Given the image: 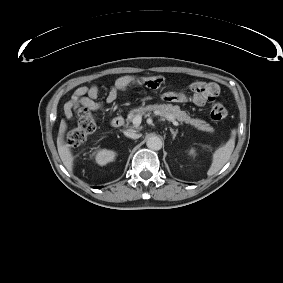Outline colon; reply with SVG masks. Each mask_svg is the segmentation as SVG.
<instances>
[{
    "label": "colon",
    "mask_w": 283,
    "mask_h": 283,
    "mask_svg": "<svg viewBox=\"0 0 283 283\" xmlns=\"http://www.w3.org/2000/svg\"><path fill=\"white\" fill-rule=\"evenodd\" d=\"M165 98V97H164ZM227 116V110L222 104H214L210 109V118L213 121H221ZM96 129V118L88 108L78 111L76 126L71 128L66 134V141L69 144L82 142L88 135Z\"/></svg>",
    "instance_id": "colon-1"
}]
</instances>
